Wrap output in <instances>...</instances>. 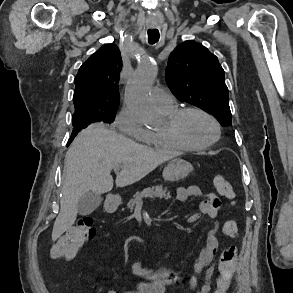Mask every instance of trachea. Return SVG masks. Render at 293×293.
Listing matches in <instances>:
<instances>
[{"label":"trachea","instance_id":"1","mask_svg":"<svg viewBox=\"0 0 293 293\" xmlns=\"http://www.w3.org/2000/svg\"><path fill=\"white\" fill-rule=\"evenodd\" d=\"M159 31L157 29L148 30V42L154 44L159 40Z\"/></svg>","mask_w":293,"mask_h":293}]
</instances>
